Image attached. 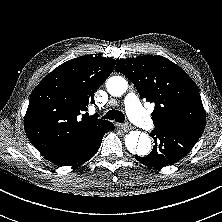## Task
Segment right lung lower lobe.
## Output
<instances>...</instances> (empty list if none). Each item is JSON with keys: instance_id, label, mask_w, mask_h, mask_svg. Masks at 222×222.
Returning <instances> with one entry per match:
<instances>
[{"instance_id": "right-lung-lower-lobe-1", "label": "right lung lower lobe", "mask_w": 222, "mask_h": 222, "mask_svg": "<svg viewBox=\"0 0 222 222\" xmlns=\"http://www.w3.org/2000/svg\"><path fill=\"white\" fill-rule=\"evenodd\" d=\"M114 125L109 122L94 134L83 146L52 158H48L51 162L59 166H79L91 159L100 147L103 134L108 130H113Z\"/></svg>"}]
</instances>
